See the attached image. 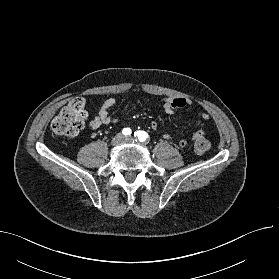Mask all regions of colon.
<instances>
[{"mask_svg": "<svg viewBox=\"0 0 279 279\" xmlns=\"http://www.w3.org/2000/svg\"><path fill=\"white\" fill-rule=\"evenodd\" d=\"M86 119L85 102L82 98L73 99L52 120L51 130L58 137L76 136L83 128ZM210 148V142L203 136L194 142L197 153H204Z\"/></svg>", "mask_w": 279, "mask_h": 279, "instance_id": "obj_1", "label": "colon"}]
</instances>
